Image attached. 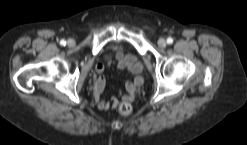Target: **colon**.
Returning a JSON list of instances; mask_svg holds the SVG:
<instances>
[{
	"mask_svg": "<svg viewBox=\"0 0 247 145\" xmlns=\"http://www.w3.org/2000/svg\"><path fill=\"white\" fill-rule=\"evenodd\" d=\"M119 112L122 115H129L132 112V106L129 102L127 101H123L120 105H119Z\"/></svg>",
	"mask_w": 247,
	"mask_h": 145,
	"instance_id": "5ec220e1",
	"label": "colon"
}]
</instances>
